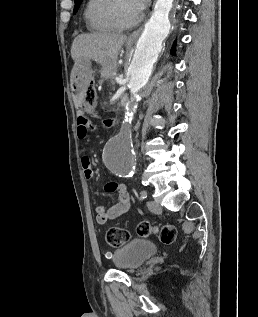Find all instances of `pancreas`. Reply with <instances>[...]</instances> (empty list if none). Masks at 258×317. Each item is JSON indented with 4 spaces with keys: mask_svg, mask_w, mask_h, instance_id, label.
<instances>
[{
    "mask_svg": "<svg viewBox=\"0 0 258 317\" xmlns=\"http://www.w3.org/2000/svg\"><path fill=\"white\" fill-rule=\"evenodd\" d=\"M108 83L109 84H111L110 85V88L112 89V90H118V88H119V85L117 84V83H115V78L114 77H109L108 78Z\"/></svg>",
    "mask_w": 258,
    "mask_h": 317,
    "instance_id": "obj_1",
    "label": "pancreas"
}]
</instances>
